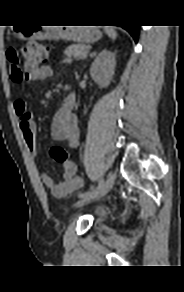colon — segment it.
<instances>
[{
    "instance_id": "colon-1",
    "label": "colon",
    "mask_w": 184,
    "mask_h": 292,
    "mask_svg": "<svg viewBox=\"0 0 184 292\" xmlns=\"http://www.w3.org/2000/svg\"><path fill=\"white\" fill-rule=\"evenodd\" d=\"M47 57V48L37 43H29L21 48H10L7 51V59L11 66V78L15 82L28 78L35 69L43 65ZM49 156L59 164L68 162L67 151L60 146L51 147Z\"/></svg>"
}]
</instances>
